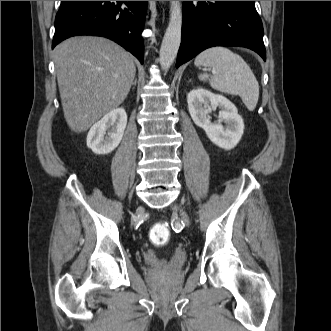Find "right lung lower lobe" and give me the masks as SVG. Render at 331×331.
I'll return each mask as SVG.
<instances>
[{
	"mask_svg": "<svg viewBox=\"0 0 331 331\" xmlns=\"http://www.w3.org/2000/svg\"><path fill=\"white\" fill-rule=\"evenodd\" d=\"M147 1H61L52 48L76 35L107 37L143 63Z\"/></svg>",
	"mask_w": 331,
	"mask_h": 331,
	"instance_id": "1",
	"label": "right lung lower lobe"
}]
</instances>
